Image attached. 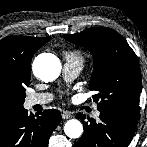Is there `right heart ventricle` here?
I'll use <instances>...</instances> for the list:
<instances>
[{
  "label": "right heart ventricle",
  "mask_w": 147,
  "mask_h": 147,
  "mask_svg": "<svg viewBox=\"0 0 147 147\" xmlns=\"http://www.w3.org/2000/svg\"><path fill=\"white\" fill-rule=\"evenodd\" d=\"M65 58L82 61V56L79 52H67L65 53Z\"/></svg>",
  "instance_id": "obj_1"
}]
</instances>
